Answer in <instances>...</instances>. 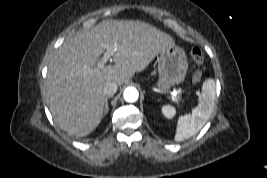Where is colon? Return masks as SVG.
<instances>
[{"instance_id":"5ec220e1","label":"colon","mask_w":267,"mask_h":178,"mask_svg":"<svg viewBox=\"0 0 267 178\" xmlns=\"http://www.w3.org/2000/svg\"><path fill=\"white\" fill-rule=\"evenodd\" d=\"M190 56H191V59L197 64V65H201L203 63V60H204V56H203V53L201 51V49L199 47H192L190 49ZM202 77V72L200 70H197L195 73H194V76H193V81L194 82H198Z\"/></svg>"}]
</instances>
